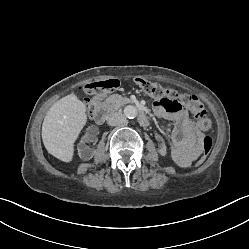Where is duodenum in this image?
Instances as JSON below:
<instances>
[{
	"label": "duodenum",
	"mask_w": 249,
	"mask_h": 249,
	"mask_svg": "<svg viewBox=\"0 0 249 249\" xmlns=\"http://www.w3.org/2000/svg\"><path fill=\"white\" fill-rule=\"evenodd\" d=\"M105 119H106V107L101 106V107L96 108V110L94 112V120L97 123L101 124L105 121ZM138 121H139L140 125H142V126L148 125V118H147V115L143 109H139Z\"/></svg>",
	"instance_id": "1"
}]
</instances>
